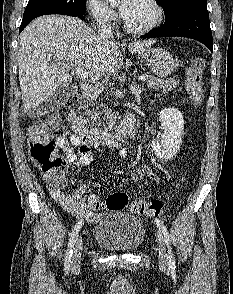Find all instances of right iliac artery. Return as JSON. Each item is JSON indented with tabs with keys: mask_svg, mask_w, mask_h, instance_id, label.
<instances>
[{
	"mask_svg": "<svg viewBox=\"0 0 233 294\" xmlns=\"http://www.w3.org/2000/svg\"><path fill=\"white\" fill-rule=\"evenodd\" d=\"M82 225H83V221H78V223H76V225L74 226V228H73V230H72V232L70 234V240H69V243H68V248H67L66 256H65V259H64V270H65L66 273H68L69 270H70L73 248H74L75 242H76L77 237H78V233H79Z\"/></svg>",
	"mask_w": 233,
	"mask_h": 294,
	"instance_id": "1",
	"label": "right iliac artery"
}]
</instances>
